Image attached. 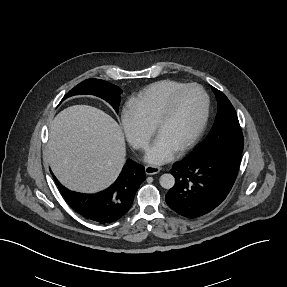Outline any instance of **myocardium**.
<instances>
[{"mask_svg":"<svg viewBox=\"0 0 287 287\" xmlns=\"http://www.w3.org/2000/svg\"><path fill=\"white\" fill-rule=\"evenodd\" d=\"M189 89H196L202 94L203 111H202V116H201L198 126L196 127L194 132L191 134V136L186 140V142L176 150L178 153H182L188 150L191 146H193V144L199 139V137L201 136V134L203 133L207 125L208 117H209L210 101H209V97L207 93L201 86H199L198 84L190 83V84H185L179 89L175 90L168 97L165 105L163 106L161 112L159 113L154 123V126L152 128L154 135H157L160 127L167 121V119L171 115L175 100L178 98L179 95H181L183 92Z\"/></svg>","mask_w":287,"mask_h":287,"instance_id":"1","label":"myocardium"}]
</instances>
